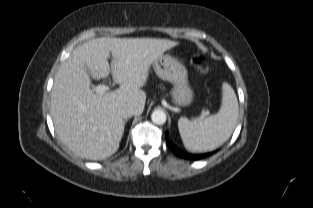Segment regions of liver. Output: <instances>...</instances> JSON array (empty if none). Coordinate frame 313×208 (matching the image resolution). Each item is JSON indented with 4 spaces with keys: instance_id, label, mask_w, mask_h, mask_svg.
<instances>
[{
    "instance_id": "1",
    "label": "liver",
    "mask_w": 313,
    "mask_h": 208,
    "mask_svg": "<svg viewBox=\"0 0 313 208\" xmlns=\"http://www.w3.org/2000/svg\"><path fill=\"white\" fill-rule=\"evenodd\" d=\"M179 42L157 38H108L90 40L75 48L54 78L50 111L59 139L76 155L103 160L113 155L122 139L125 121L118 114L121 104L143 113L151 64ZM120 87L97 94L90 88L94 79L110 73Z\"/></svg>"
}]
</instances>
